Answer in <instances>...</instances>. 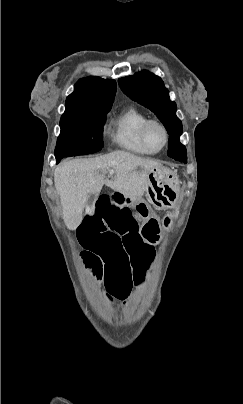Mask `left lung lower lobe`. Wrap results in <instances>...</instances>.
Listing matches in <instances>:
<instances>
[{"mask_svg": "<svg viewBox=\"0 0 243 404\" xmlns=\"http://www.w3.org/2000/svg\"><path fill=\"white\" fill-rule=\"evenodd\" d=\"M180 162H184V163H187V160H185V161H184V160H182V161H180Z\"/></svg>", "mask_w": 243, "mask_h": 404, "instance_id": "0a47b994", "label": "left lung lower lobe"}]
</instances>
